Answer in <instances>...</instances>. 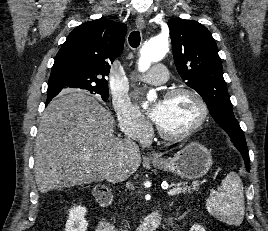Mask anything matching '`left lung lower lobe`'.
Listing matches in <instances>:
<instances>
[{
  "instance_id": "0a47b994",
  "label": "left lung lower lobe",
  "mask_w": 268,
  "mask_h": 231,
  "mask_svg": "<svg viewBox=\"0 0 268 231\" xmlns=\"http://www.w3.org/2000/svg\"><path fill=\"white\" fill-rule=\"evenodd\" d=\"M173 146H175V145L170 146V148H172ZM239 152L243 156L247 171H250V160H249V155L247 153V150L242 149V150H239Z\"/></svg>"
}]
</instances>
